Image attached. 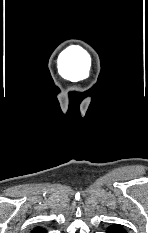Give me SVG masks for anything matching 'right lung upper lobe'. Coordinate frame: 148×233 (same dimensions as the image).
I'll list each match as a JSON object with an SVG mask.
<instances>
[{"label":"right lung upper lobe","instance_id":"right-lung-upper-lobe-1","mask_svg":"<svg viewBox=\"0 0 148 233\" xmlns=\"http://www.w3.org/2000/svg\"><path fill=\"white\" fill-rule=\"evenodd\" d=\"M31 233H46L44 228H35Z\"/></svg>","mask_w":148,"mask_h":233}]
</instances>
